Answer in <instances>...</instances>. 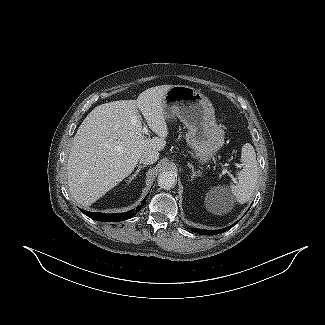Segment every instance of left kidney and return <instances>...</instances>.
Segmentation results:
<instances>
[{
  "label": "left kidney",
  "instance_id": "1",
  "mask_svg": "<svg viewBox=\"0 0 325 325\" xmlns=\"http://www.w3.org/2000/svg\"><path fill=\"white\" fill-rule=\"evenodd\" d=\"M211 197H213V196L209 195V199H210V200H211ZM218 198H219L218 195H214V198H212V199H218Z\"/></svg>",
  "mask_w": 325,
  "mask_h": 325
}]
</instances>
